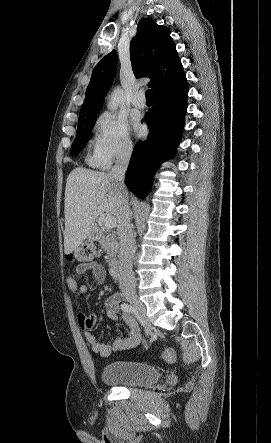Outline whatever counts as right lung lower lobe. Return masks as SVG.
<instances>
[{
    "mask_svg": "<svg viewBox=\"0 0 271 443\" xmlns=\"http://www.w3.org/2000/svg\"><path fill=\"white\" fill-rule=\"evenodd\" d=\"M187 95L186 77L153 94L154 106L145 116L148 138L135 145L125 176L127 187L141 199L150 192L160 164L175 153L183 132Z\"/></svg>",
    "mask_w": 271,
    "mask_h": 443,
    "instance_id": "98d812e1",
    "label": "right lung lower lobe"
}]
</instances>
